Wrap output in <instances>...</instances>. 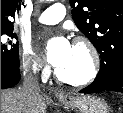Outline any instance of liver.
Masks as SVG:
<instances>
[{
    "label": "liver",
    "instance_id": "liver-1",
    "mask_svg": "<svg viewBox=\"0 0 123 113\" xmlns=\"http://www.w3.org/2000/svg\"><path fill=\"white\" fill-rule=\"evenodd\" d=\"M45 99H28L20 90H1V113H46Z\"/></svg>",
    "mask_w": 123,
    "mask_h": 113
}]
</instances>
